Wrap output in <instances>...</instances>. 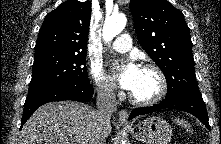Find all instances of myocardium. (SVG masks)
I'll use <instances>...</instances> for the list:
<instances>
[{
    "label": "myocardium",
    "mask_w": 221,
    "mask_h": 144,
    "mask_svg": "<svg viewBox=\"0 0 221 144\" xmlns=\"http://www.w3.org/2000/svg\"><path fill=\"white\" fill-rule=\"evenodd\" d=\"M141 69L149 70L156 74L158 78V83H159L158 90L154 96L147 98V99L137 98L132 93H130L129 94L130 101L133 104L138 105V106H151V105L157 104L164 98V96L167 93L166 77L163 71L156 64H153V63H145L144 65H142Z\"/></svg>",
    "instance_id": "f54148a6"
}]
</instances>
